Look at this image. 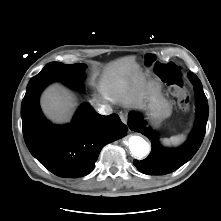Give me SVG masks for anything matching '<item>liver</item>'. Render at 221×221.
<instances>
[{
    "mask_svg": "<svg viewBox=\"0 0 221 221\" xmlns=\"http://www.w3.org/2000/svg\"><path fill=\"white\" fill-rule=\"evenodd\" d=\"M138 65L134 57H125L111 63L105 72L104 83L107 87L113 86L115 77H130L133 81L128 92L122 96L124 105L134 109L143 107L154 83H145L138 75ZM75 104L72 97L59 86L48 88L42 98L43 112L51 120L62 123L70 119Z\"/></svg>",
    "mask_w": 221,
    "mask_h": 221,
    "instance_id": "liver-1",
    "label": "liver"
}]
</instances>
